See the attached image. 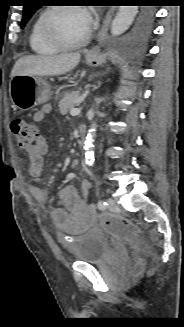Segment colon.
<instances>
[{
	"label": "colon",
	"mask_w": 184,
	"mask_h": 327,
	"mask_svg": "<svg viewBox=\"0 0 184 327\" xmlns=\"http://www.w3.org/2000/svg\"><path fill=\"white\" fill-rule=\"evenodd\" d=\"M11 131L14 135L18 147L22 150H29L38 137L37 128L24 117H16L11 122ZM99 221L109 228L110 232L122 239H131L135 236V229L126 221L110 219L106 215H101Z\"/></svg>",
	"instance_id": "colon-1"
}]
</instances>
